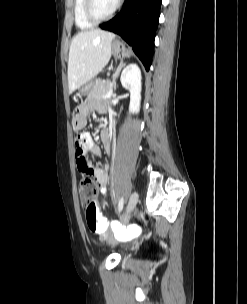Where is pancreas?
<instances>
[{
  "instance_id": "1",
  "label": "pancreas",
  "mask_w": 247,
  "mask_h": 304,
  "mask_svg": "<svg viewBox=\"0 0 247 304\" xmlns=\"http://www.w3.org/2000/svg\"><path fill=\"white\" fill-rule=\"evenodd\" d=\"M89 98H102L111 89L110 81L97 80L92 85L86 87Z\"/></svg>"
}]
</instances>
